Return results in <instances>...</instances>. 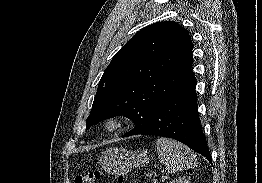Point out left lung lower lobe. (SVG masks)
I'll list each match as a JSON object with an SVG mask.
<instances>
[{"label": "left lung lower lobe", "instance_id": "0a47b994", "mask_svg": "<svg viewBox=\"0 0 262 183\" xmlns=\"http://www.w3.org/2000/svg\"><path fill=\"white\" fill-rule=\"evenodd\" d=\"M195 86L196 78L190 70L175 91L157 108L149 124L137 134L173 138L212 164L206 138L200 127Z\"/></svg>", "mask_w": 262, "mask_h": 183}]
</instances>
